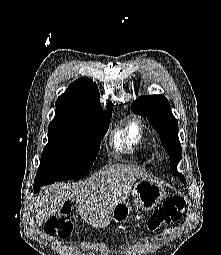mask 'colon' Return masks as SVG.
<instances>
[{
  "instance_id": "obj_1",
  "label": "colon",
  "mask_w": 221,
  "mask_h": 255,
  "mask_svg": "<svg viewBox=\"0 0 221 255\" xmlns=\"http://www.w3.org/2000/svg\"><path fill=\"white\" fill-rule=\"evenodd\" d=\"M185 208V200L182 197H174L165 200L148 220L150 230H155L163 224H170L181 219ZM70 206L64 204L59 213L52 215L45 224V233L57 236L60 239L69 237L72 230Z\"/></svg>"
}]
</instances>
